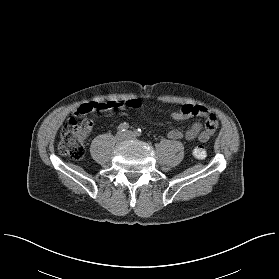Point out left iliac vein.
<instances>
[{
    "instance_id": "4c4485c4",
    "label": "left iliac vein",
    "mask_w": 279,
    "mask_h": 279,
    "mask_svg": "<svg viewBox=\"0 0 279 279\" xmlns=\"http://www.w3.org/2000/svg\"><path fill=\"white\" fill-rule=\"evenodd\" d=\"M126 139H135V135L131 131L125 133Z\"/></svg>"
}]
</instances>
